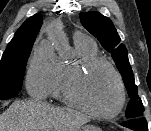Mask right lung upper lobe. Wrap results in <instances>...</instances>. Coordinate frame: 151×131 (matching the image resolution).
Here are the masks:
<instances>
[{
  "label": "right lung upper lobe",
  "mask_w": 151,
  "mask_h": 131,
  "mask_svg": "<svg viewBox=\"0 0 151 131\" xmlns=\"http://www.w3.org/2000/svg\"><path fill=\"white\" fill-rule=\"evenodd\" d=\"M42 25V16L37 13L27 19L16 31L14 38L10 41L7 48L25 47L34 43L36 36Z\"/></svg>",
  "instance_id": "right-lung-upper-lobe-1"
}]
</instances>
